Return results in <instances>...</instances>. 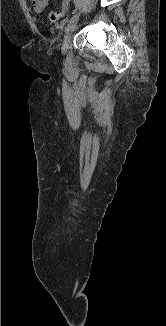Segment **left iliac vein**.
Here are the masks:
<instances>
[{"label": "left iliac vein", "mask_w": 166, "mask_h": 326, "mask_svg": "<svg viewBox=\"0 0 166 326\" xmlns=\"http://www.w3.org/2000/svg\"><path fill=\"white\" fill-rule=\"evenodd\" d=\"M80 17V12H76L70 19L66 30H65V36H64V40H63V44H62V52L65 53L68 49L69 43H70V39H71V33L72 31L75 29L76 24L79 20Z\"/></svg>", "instance_id": "left-iliac-vein-1"}]
</instances>
